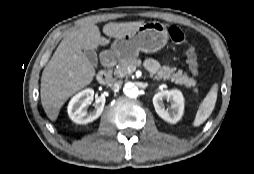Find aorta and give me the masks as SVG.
<instances>
[{
    "mask_svg": "<svg viewBox=\"0 0 254 174\" xmlns=\"http://www.w3.org/2000/svg\"><path fill=\"white\" fill-rule=\"evenodd\" d=\"M123 92L130 98H135L139 95V89L133 83H126Z\"/></svg>",
    "mask_w": 254,
    "mask_h": 174,
    "instance_id": "762f6f07",
    "label": "aorta"
}]
</instances>
